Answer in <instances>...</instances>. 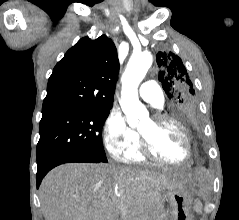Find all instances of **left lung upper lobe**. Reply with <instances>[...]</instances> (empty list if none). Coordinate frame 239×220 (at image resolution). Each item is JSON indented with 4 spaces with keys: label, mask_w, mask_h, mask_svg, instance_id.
<instances>
[{
    "label": "left lung upper lobe",
    "mask_w": 239,
    "mask_h": 220,
    "mask_svg": "<svg viewBox=\"0 0 239 220\" xmlns=\"http://www.w3.org/2000/svg\"><path fill=\"white\" fill-rule=\"evenodd\" d=\"M158 79L170 99V110L178 118L199 116L195 90L182 60L171 51L158 52Z\"/></svg>",
    "instance_id": "obj_1"
}]
</instances>
